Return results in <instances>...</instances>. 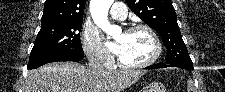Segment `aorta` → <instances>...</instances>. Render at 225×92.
I'll use <instances>...</instances> for the list:
<instances>
[{
  "mask_svg": "<svg viewBox=\"0 0 225 92\" xmlns=\"http://www.w3.org/2000/svg\"><path fill=\"white\" fill-rule=\"evenodd\" d=\"M114 0H91L90 12L95 24L108 36L120 30L119 27L111 25L108 21V11Z\"/></svg>",
  "mask_w": 225,
  "mask_h": 92,
  "instance_id": "1",
  "label": "aorta"
}]
</instances>
